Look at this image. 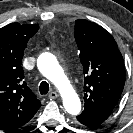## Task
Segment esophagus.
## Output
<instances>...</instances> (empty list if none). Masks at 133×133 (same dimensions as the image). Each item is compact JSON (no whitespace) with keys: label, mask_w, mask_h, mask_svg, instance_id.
Instances as JSON below:
<instances>
[{"label":"esophagus","mask_w":133,"mask_h":133,"mask_svg":"<svg viewBox=\"0 0 133 133\" xmlns=\"http://www.w3.org/2000/svg\"><path fill=\"white\" fill-rule=\"evenodd\" d=\"M48 96L50 99H55L58 97V93L53 91V92H50Z\"/></svg>","instance_id":"obj_1"}]
</instances>
